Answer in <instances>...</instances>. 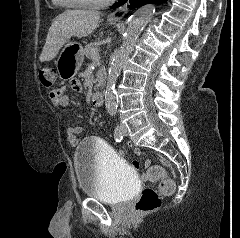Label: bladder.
Returning a JSON list of instances; mask_svg holds the SVG:
<instances>
[{
    "instance_id": "31cf9c89",
    "label": "bladder",
    "mask_w": 240,
    "mask_h": 238,
    "mask_svg": "<svg viewBox=\"0 0 240 238\" xmlns=\"http://www.w3.org/2000/svg\"><path fill=\"white\" fill-rule=\"evenodd\" d=\"M73 163L81 191L103 203H124L138 188L133 168L100 139L88 138L80 142Z\"/></svg>"
}]
</instances>
